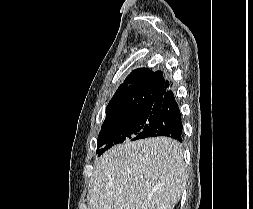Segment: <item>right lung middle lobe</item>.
<instances>
[{"mask_svg":"<svg viewBox=\"0 0 253 209\" xmlns=\"http://www.w3.org/2000/svg\"><path fill=\"white\" fill-rule=\"evenodd\" d=\"M159 112L152 107H141L104 122L97 140L96 153L100 156L115 144L141 139L140 133L149 129Z\"/></svg>","mask_w":253,"mask_h":209,"instance_id":"dd1d6c3e","label":"right lung middle lobe"}]
</instances>
